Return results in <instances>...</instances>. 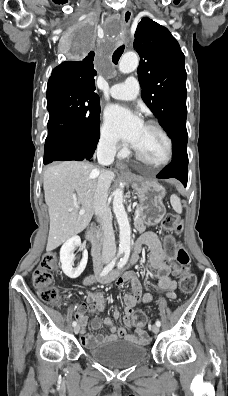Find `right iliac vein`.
I'll return each mask as SVG.
<instances>
[{
  "mask_svg": "<svg viewBox=\"0 0 228 396\" xmlns=\"http://www.w3.org/2000/svg\"><path fill=\"white\" fill-rule=\"evenodd\" d=\"M79 331H80V326H79V325H76V326L74 327V333H75V334H78Z\"/></svg>",
  "mask_w": 228,
  "mask_h": 396,
  "instance_id": "obj_1",
  "label": "right iliac vein"
}]
</instances>
